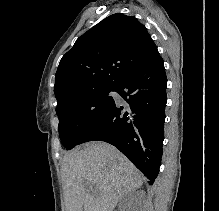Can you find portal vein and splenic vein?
<instances>
[{"mask_svg": "<svg viewBox=\"0 0 219 211\" xmlns=\"http://www.w3.org/2000/svg\"><path fill=\"white\" fill-rule=\"evenodd\" d=\"M87 183H89L90 185V181H87ZM94 193H97V187H95V189H93Z\"/></svg>", "mask_w": 219, "mask_h": 211, "instance_id": "portal-vein-and-splenic-vein-1", "label": "portal vein and splenic vein"}]
</instances>
